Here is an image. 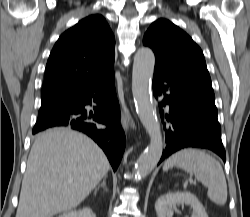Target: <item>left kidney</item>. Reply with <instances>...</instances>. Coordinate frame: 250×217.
Here are the masks:
<instances>
[{
  "mask_svg": "<svg viewBox=\"0 0 250 217\" xmlns=\"http://www.w3.org/2000/svg\"><path fill=\"white\" fill-rule=\"evenodd\" d=\"M186 204L193 208L192 217H208L205 208L192 193L169 192L160 196L156 203L155 209L158 217H173V211L177 205Z\"/></svg>",
  "mask_w": 250,
  "mask_h": 217,
  "instance_id": "5707ae66",
  "label": "left kidney"
}]
</instances>
